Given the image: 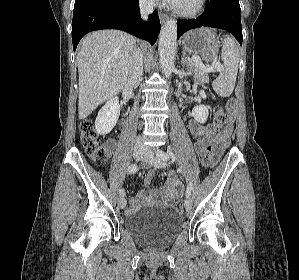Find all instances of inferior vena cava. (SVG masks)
I'll use <instances>...</instances> for the list:
<instances>
[{"mask_svg": "<svg viewBox=\"0 0 299 280\" xmlns=\"http://www.w3.org/2000/svg\"><path fill=\"white\" fill-rule=\"evenodd\" d=\"M155 6V0H141L140 1V13L142 18L145 20L148 14L152 13ZM143 76V55L139 48H135L131 63L128 82L137 84ZM141 137L137 138V143H142Z\"/></svg>", "mask_w": 299, "mask_h": 280, "instance_id": "obj_1", "label": "inferior vena cava"}]
</instances>
